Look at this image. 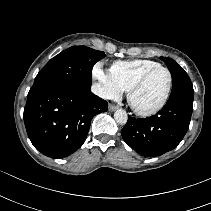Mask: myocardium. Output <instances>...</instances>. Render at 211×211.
Returning <instances> with one entry per match:
<instances>
[{
  "label": "myocardium",
  "instance_id": "1",
  "mask_svg": "<svg viewBox=\"0 0 211 211\" xmlns=\"http://www.w3.org/2000/svg\"><path fill=\"white\" fill-rule=\"evenodd\" d=\"M156 70H164L168 74V85H167L166 92H165L162 100L153 108L146 109V110L139 109L133 104V95L135 94V92L138 89H140L142 87V85L145 83V81L149 77V75L152 74ZM172 84H173V76H172L171 71L167 67L162 66V65L152 67V68L146 70L128 89V92H127L128 102H129L131 108L134 110V112L140 116L148 117V116L155 115L160 110H162L163 107L166 105V103L170 97V94H171Z\"/></svg>",
  "mask_w": 211,
  "mask_h": 211
}]
</instances>
